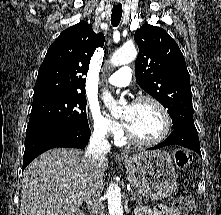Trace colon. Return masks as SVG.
I'll return each instance as SVG.
<instances>
[{
  "label": "colon",
  "mask_w": 221,
  "mask_h": 215,
  "mask_svg": "<svg viewBox=\"0 0 221 215\" xmlns=\"http://www.w3.org/2000/svg\"><path fill=\"white\" fill-rule=\"evenodd\" d=\"M174 159L177 167L182 170L187 169L192 163V156L187 151L181 149L176 151ZM175 206L185 215H188L194 211L196 202L193 197L184 195L176 200Z\"/></svg>",
  "instance_id": "1"
}]
</instances>
